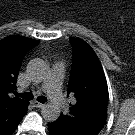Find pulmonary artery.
I'll return each instance as SVG.
<instances>
[{
	"mask_svg": "<svg viewBox=\"0 0 135 135\" xmlns=\"http://www.w3.org/2000/svg\"><path fill=\"white\" fill-rule=\"evenodd\" d=\"M64 70L65 67L62 62L55 63L51 75L41 86V89L49 94L52 104L57 108L65 107V101L61 94Z\"/></svg>",
	"mask_w": 135,
	"mask_h": 135,
	"instance_id": "obj_1",
	"label": "pulmonary artery"
}]
</instances>
